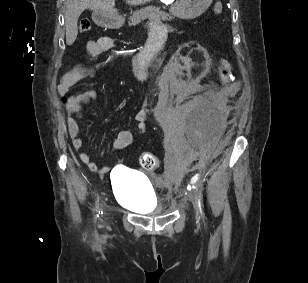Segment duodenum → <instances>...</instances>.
Instances as JSON below:
<instances>
[{"instance_id":"1","label":"duodenum","mask_w":308,"mask_h":283,"mask_svg":"<svg viewBox=\"0 0 308 283\" xmlns=\"http://www.w3.org/2000/svg\"><path fill=\"white\" fill-rule=\"evenodd\" d=\"M118 15L116 11H112L110 14V17H101L100 23L102 25H107L111 22L112 18H115ZM157 38H150L147 44L144 46L145 50L140 51V57L139 60L141 62H151L152 57L155 56V51H157V48H159L160 45H162L163 41L165 40V32L164 30L160 29L157 36Z\"/></svg>"}]
</instances>
